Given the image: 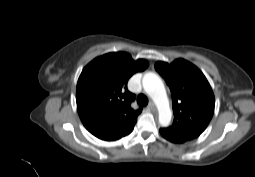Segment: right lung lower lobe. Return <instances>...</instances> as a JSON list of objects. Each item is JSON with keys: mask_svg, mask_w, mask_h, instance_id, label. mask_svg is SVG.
<instances>
[{"mask_svg": "<svg viewBox=\"0 0 255 177\" xmlns=\"http://www.w3.org/2000/svg\"><path fill=\"white\" fill-rule=\"evenodd\" d=\"M135 123H136V121L131 123L130 125H128L126 128H124L119 133H117L114 136H112L111 138H109L107 141H115V140H118V139L130 134L134 128Z\"/></svg>", "mask_w": 255, "mask_h": 177, "instance_id": "98d812e1", "label": "right lung lower lobe"}]
</instances>
